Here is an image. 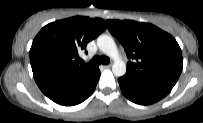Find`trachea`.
I'll return each mask as SVG.
<instances>
[{
    "label": "trachea",
    "instance_id": "1",
    "mask_svg": "<svg viewBox=\"0 0 203 123\" xmlns=\"http://www.w3.org/2000/svg\"><path fill=\"white\" fill-rule=\"evenodd\" d=\"M110 59L106 56H95L91 60V64L99 65V64H109Z\"/></svg>",
    "mask_w": 203,
    "mask_h": 123
}]
</instances>
